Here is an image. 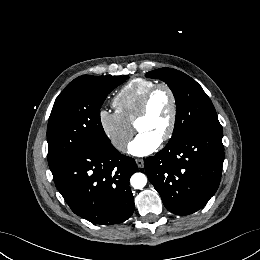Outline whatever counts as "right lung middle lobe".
Wrapping results in <instances>:
<instances>
[{
  "mask_svg": "<svg viewBox=\"0 0 260 260\" xmlns=\"http://www.w3.org/2000/svg\"><path fill=\"white\" fill-rule=\"evenodd\" d=\"M126 79L127 76L83 75L62 91L47 128L50 169L74 152L113 148L100 121V108L107 94Z\"/></svg>",
  "mask_w": 260,
  "mask_h": 260,
  "instance_id": "obj_1",
  "label": "right lung middle lobe"
}]
</instances>
